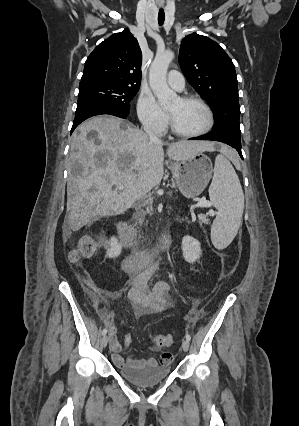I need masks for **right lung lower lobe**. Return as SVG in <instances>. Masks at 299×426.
Here are the masks:
<instances>
[{
	"label": "right lung lower lobe",
	"instance_id": "98d812e1",
	"mask_svg": "<svg viewBox=\"0 0 299 426\" xmlns=\"http://www.w3.org/2000/svg\"><path fill=\"white\" fill-rule=\"evenodd\" d=\"M101 114L114 115L120 118H126L128 115L127 113H124L108 104L99 102H85L80 105H77L71 133L81 122H83L87 118Z\"/></svg>",
	"mask_w": 299,
	"mask_h": 426
}]
</instances>
